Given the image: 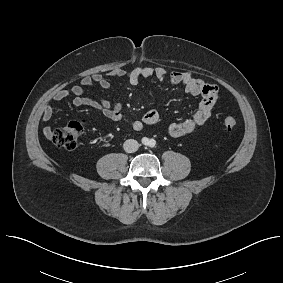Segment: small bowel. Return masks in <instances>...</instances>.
<instances>
[{
    "instance_id": "obj_1",
    "label": "small bowel",
    "mask_w": 283,
    "mask_h": 283,
    "mask_svg": "<svg viewBox=\"0 0 283 283\" xmlns=\"http://www.w3.org/2000/svg\"><path fill=\"white\" fill-rule=\"evenodd\" d=\"M107 77L124 78L132 85H138L143 79H157L168 82L172 85H181L191 95L201 96V101L193 116L178 123L168 126V133L173 137H180L192 133L201 127L211 117L214 106L219 99V90L215 84L209 83L194 76L191 72L172 71L158 66H142L131 70L113 69L106 74H94L83 77L80 85H75L69 90H59L55 93L54 99L63 101L73 96L72 103L75 106H91L100 110L107 118L116 122H125L133 130L141 131L146 126L156 125L160 121V114L156 110L147 111L141 119L132 120L127 118L120 103H113L107 100H93L84 95V87L94 84L105 90H110L112 85ZM54 109L51 105H45L42 110V120L49 121L53 117ZM45 135H50V127L44 129Z\"/></svg>"
}]
</instances>
